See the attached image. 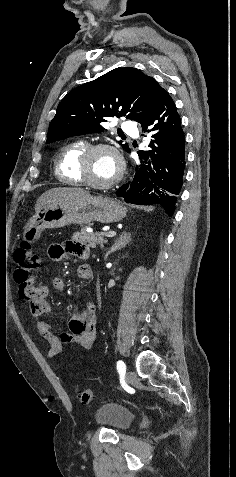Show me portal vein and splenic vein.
<instances>
[{"label":"portal vein and splenic vein","mask_w":236,"mask_h":477,"mask_svg":"<svg viewBox=\"0 0 236 477\" xmlns=\"http://www.w3.org/2000/svg\"><path fill=\"white\" fill-rule=\"evenodd\" d=\"M104 236H106L108 238H112V237L116 236V232L115 231H109V232L105 233Z\"/></svg>","instance_id":"18ae733b"}]
</instances>
